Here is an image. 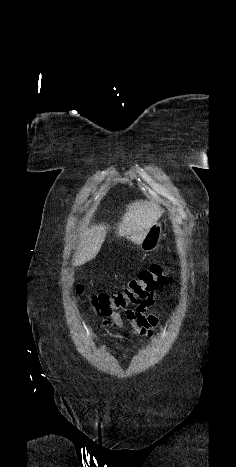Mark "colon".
I'll use <instances>...</instances> for the list:
<instances>
[{
	"instance_id": "1",
	"label": "colon",
	"mask_w": 236,
	"mask_h": 467,
	"mask_svg": "<svg viewBox=\"0 0 236 467\" xmlns=\"http://www.w3.org/2000/svg\"><path fill=\"white\" fill-rule=\"evenodd\" d=\"M167 281L165 264H152L143 269L136 279L118 291L102 292L92 297L91 302L98 314L111 315L126 309L149 297L158 288L165 285ZM82 287L77 286V292L81 293Z\"/></svg>"
}]
</instances>
